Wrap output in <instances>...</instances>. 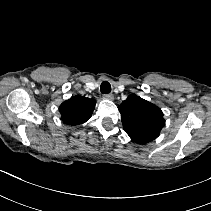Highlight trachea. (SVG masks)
<instances>
[{
	"instance_id": "trachea-1",
	"label": "trachea",
	"mask_w": 211,
	"mask_h": 211,
	"mask_svg": "<svg viewBox=\"0 0 211 211\" xmlns=\"http://www.w3.org/2000/svg\"><path fill=\"white\" fill-rule=\"evenodd\" d=\"M102 94H109L111 92V85L107 81H103L100 86Z\"/></svg>"
}]
</instances>
